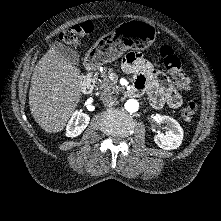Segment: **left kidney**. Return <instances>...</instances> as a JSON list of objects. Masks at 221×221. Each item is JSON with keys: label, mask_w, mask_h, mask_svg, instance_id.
<instances>
[{"label": "left kidney", "mask_w": 221, "mask_h": 221, "mask_svg": "<svg viewBox=\"0 0 221 221\" xmlns=\"http://www.w3.org/2000/svg\"><path fill=\"white\" fill-rule=\"evenodd\" d=\"M159 120L168 126L166 134L159 133L155 135V143L164 150H173L178 148L183 140V129L180 124L169 116H161Z\"/></svg>", "instance_id": "1"}]
</instances>
